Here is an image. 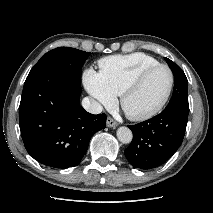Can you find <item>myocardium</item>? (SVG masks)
Here are the masks:
<instances>
[{
  "label": "myocardium",
  "instance_id": "obj_1",
  "mask_svg": "<svg viewBox=\"0 0 213 213\" xmlns=\"http://www.w3.org/2000/svg\"><path fill=\"white\" fill-rule=\"evenodd\" d=\"M160 68L166 69L168 71L169 77H170L168 88L166 90V93L162 97V99L154 107H152L151 109H149L145 112H142L139 114H131V113L126 112L124 109V102H125L126 98L129 96V94H131L141 84V82L144 80V78L148 74H150L151 72H153L157 69H160ZM174 80L175 79H174V74H173L172 69L165 64L158 63L156 65L143 69L131 81H129L127 83V85L120 92L119 103H120L121 108L123 109V111L125 112L127 117L134 121H143V120L153 117L165 106V104L169 100L172 90H173Z\"/></svg>",
  "mask_w": 213,
  "mask_h": 213
}]
</instances>
